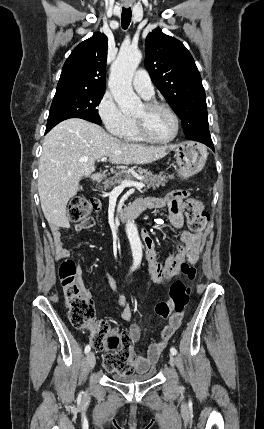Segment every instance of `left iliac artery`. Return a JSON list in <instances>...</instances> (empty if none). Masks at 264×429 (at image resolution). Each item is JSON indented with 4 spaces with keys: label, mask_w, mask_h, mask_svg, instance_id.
Returning <instances> with one entry per match:
<instances>
[{
    "label": "left iliac artery",
    "mask_w": 264,
    "mask_h": 429,
    "mask_svg": "<svg viewBox=\"0 0 264 429\" xmlns=\"http://www.w3.org/2000/svg\"><path fill=\"white\" fill-rule=\"evenodd\" d=\"M170 352H171V354H173V355H176V354H177V350H176L174 347H171V348H170Z\"/></svg>",
    "instance_id": "44dca946"
}]
</instances>
